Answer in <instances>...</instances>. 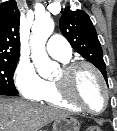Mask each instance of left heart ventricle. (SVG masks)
I'll return each mask as SVG.
<instances>
[{"mask_svg": "<svg viewBox=\"0 0 117 131\" xmlns=\"http://www.w3.org/2000/svg\"><path fill=\"white\" fill-rule=\"evenodd\" d=\"M61 71L58 77H60ZM74 95L84 105L94 111H99L104 104V95L100 83L94 73L87 68L79 69L72 81Z\"/></svg>", "mask_w": 117, "mask_h": 131, "instance_id": "obj_1", "label": "left heart ventricle"}]
</instances>
